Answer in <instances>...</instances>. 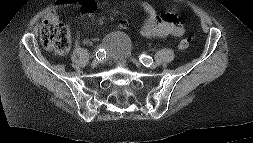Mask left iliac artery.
<instances>
[{"instance_id":"left-iliac-artery-1","label":"left iliac artery","mask_w":253,"mask_h":143,"mask_svg":"<svg viewBox=\"0 0 253 143\" xmlns=\"http://www.w3.org/2000/svg\"><path fill=\"white\" fill-rule=\"evenodd\" d=\"M139 59L141 63L146 67H150V65L153 63V58L145 54H142Z\"/></svg>"}]
</instances>
